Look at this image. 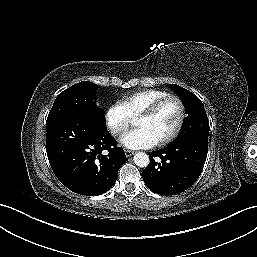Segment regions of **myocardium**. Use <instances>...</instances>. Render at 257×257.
<instances>
[{
  "label": "myocardium",
  "instance_id": "f54148a6",
  "mask_svg": "<svg viewBox=\"0 0 257 257\" xmlns=\"http://www.w3.org/2000/svg\"><path fill=\"white\" fill-rule=\"evenodd\" d=\"M174 100L176 101V103L178 104L179 107V118L178 121L176 123L175 128L173 129V131L165 136L164 138H162L161 140L158 141L157 144L159 145H165L168 144L170 142H172L174 139H176V137L179 135L185 118H186V108L184 105V102L182 101V99L175 95V94H169L159 100H157L156 102H154L151 106H149L146 110H144L139 116L138 118H146V117H152L154 116L167 102Z\"/></svg>",
  "mask_w": 257,
  "mask_h": 257
}]
</instances>
